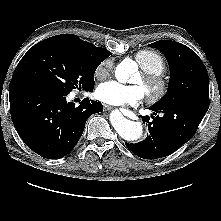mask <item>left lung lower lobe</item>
<instances>
[{"label":"left lung lower lobe","mask_w":221,"mask_h":221,"mask_svg":"<svg viewBox=\"0 0 221 221\" xmlns=\"http://www.w3.org/2000/svg\"><path fill=\"white\" fill-rule=\"evenodd\" d=\"M208 107L209 101L175 103L165 107L153 105L150 109L155 116H151V121L150 117L141 116L143 122H148L149 136L140 143L125 144L130 151L144 159L168 156L193 137Z\"/></svg>","instance_id":"left-lung-lower-lobe-1"}]
</instances>
